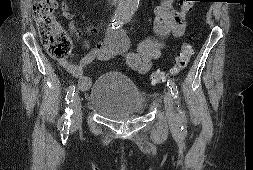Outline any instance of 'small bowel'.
<instances>
[{"mask_svg":"<svg viewBox=\"0 0 253 170\" xmlns=\"http://www.w3.org/2000/svg\"><path fill=\"white\" fill-rule=\"evenodd\" d=\"M176 0H162L161 5L154 10V34L157 37H166L173 35L180 37L186 25V13L176 11L173 4ZM62 16L69 21L68 30L71 34L79 37L81 31L76 27L73 21L74 11L72 5L68 2H63L61 5ZM90 33H95L94 27H89ZM83 46L88 50L87 54L82 57L79 63H75L72 59L61 60L59 64L70 75L77 79L78 86L81 90H86L91 84V79L84 75V70L90 66L95 60H108L113 57L118 51L104 41H96L91 43L89 40L83 41ZM162 53V44L152 38L144 39L137 46L136 51L121 52L128 67L133 71L145 75L151 67L152 61L159 59Z\"/></svg>","mask_w":253,"mask_h":170,"instance_id":"c3829d8e","label":"small bowel"}]
</instances>
